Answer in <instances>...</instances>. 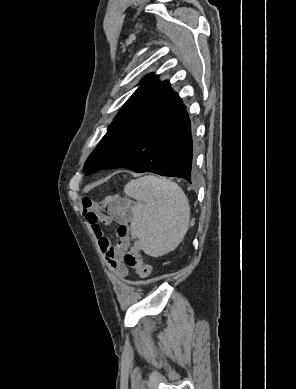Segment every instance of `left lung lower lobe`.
<instances>
[{
    "label": "left lung lower lobe",
    "instance_id": "0a47b994",
    "mask_svg": "<svg viewBox=\"0 0 296 389\" xmlns=\"http://www.w3.org/2000/svg\"><path fill=\"white\" fill-rule=\"evenodd\" d=\"M93 153L98 170L127 168L192 183L194 123L165 81L112 123Z\"/></svg>",
    "mask_w": 296,
    "mask_h": 389
}]
</instances>
